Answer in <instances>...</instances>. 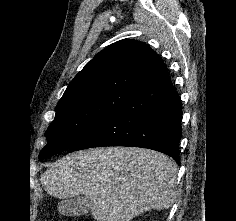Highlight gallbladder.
I'll use <instances>...</instances> for the list:
<instances>
[{"mask_svg":"<svg viewBox=\"0 0 236 221\" xmlns=\"http://www.w3.org/2000/svg\"><path fill=\"white\" fill-rule=\"evenodd\" d=\"M58 211L67 217L82 216L90 211V201L82 196L63 199L58 203Z\"/></svg>","mask_w":236,"mask_h":221,"instance_id":"gallbladder-1","label":"gallbladder"}]
</instances>
